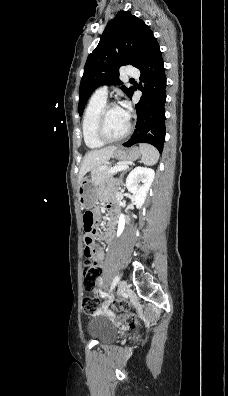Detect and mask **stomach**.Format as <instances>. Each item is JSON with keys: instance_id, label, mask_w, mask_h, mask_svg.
Segmentation results:
<instances>
[{"instance_id": "1", "label": "stomach", "mask_w": 228, "mask_h": 396, "mask_svg": "<svg viewBox=\"0 0 228 396\" xmlns=\"http://www.w3.org/2000/svg\"><path fill=\"white\" fill-rule=\"evenodd\" d=\"M141 152L138 147H132L129 149L118 148L113 153L114 158L122 161H133L140 157ZM93 174V173H92ZM78 201L82 208L91 209L98 201V190L97 184L92 181V178L86 176L83 177L78 185L77 189Z\"/></svg>"}]
</instances>
